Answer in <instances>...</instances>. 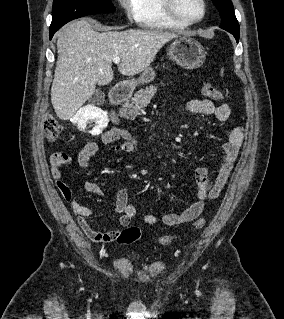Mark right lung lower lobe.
I'll list each match as a JSON object with an SVG mask.
<instances>
[{
	"mask_svg": "<svg viewBox=\"0 0 284 319\" xmlns=\"http://www.w3.org/2000/svg\"><path fill=\"white\" fill-rule=\"evenodd\" d=\"M57 30H50V39L52 38V36L54 35V33L56 32Z\"/></svg>",
	"mask_w": 284,
	"mask_h": 319,
	"instance_id": "98d812e1",
	"label": "right lung lower lobe"
}]
</instances>
